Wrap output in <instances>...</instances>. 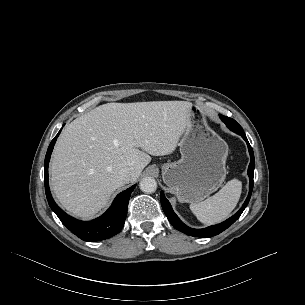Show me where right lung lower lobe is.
<instances>
[{"instance_id": "1", "label": "right lung lower lobe", "mask_w": 305, "mask_h": 305, "mask_svg": "<svg viewBox=\"0 0 305 305\" xmlns=\"http://www.w3.org/2000/svg\"><path fill=\"white\" fill-rule=\"evenodd\" d=\"M61 130L56 135V137L50 143L44 162L45 174H44V183H45V192L46 197L51 209L55 212L61 222L75 235L81 238L84 241L96 242L110 238L117 233H119L124 225L127 207L130 195L134 190L136 185L131 186L127 190L121 192L116 196L110 208L100 217L83 222L79 221L69 215H67L63 210H61L58 205L54 202L48 185V164L50 156L56 142L57 137L59 136Z\"/></svg>"}]
</instances>
